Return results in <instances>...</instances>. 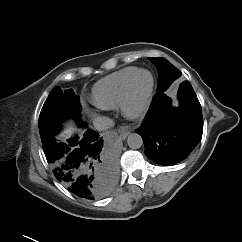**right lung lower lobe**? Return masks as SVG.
I'll return each instance as SVG.
<instances>
[{"label": "right lung lower lobe", "mask_w": 242, "mask_h": 242, "mask_svg": "<svg viewBox=\"0 0 242 242\" xmlns=\"http://www.w3.org/2000/svg\"><path fill=\"white\" fill-rule=\"evenodd\" d=\"M99 134L88 129L83 136L59 142L50 137L43 145L55 177L68 190L85 199L100 198L111 191L116 176L112 162L103 158Z\"/></svg>", "instance_id": "obj_1"}]
</instances>
